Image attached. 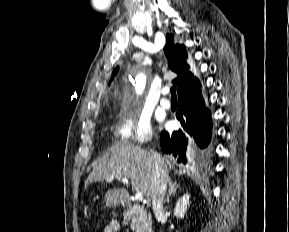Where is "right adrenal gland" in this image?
Returning a JSON list of instances; mask_svg holds the SVG:
<instances>
[{
    "label": "right adrenal gland",
    "mask_w": 289,
    "mask_h": 232,
    "mask_svg": "<svg viewBox=\"0 0 289 232\" xmlns=\"http://www.w3.org/2000/svg\"><path fill=\"white\" fill-rule=\"evenodd\" d=\"M179 188V184L177 183H172V181H169V190H168V194L166 196V202L169 203L170 200V196L176 193V190Z\"/></svg>",
    "instance_id": "1"
}]
</instances>
